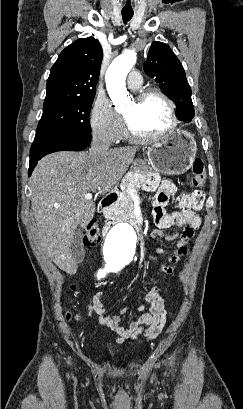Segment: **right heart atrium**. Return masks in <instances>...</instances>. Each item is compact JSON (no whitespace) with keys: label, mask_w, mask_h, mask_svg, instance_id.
<instances>
[{"label":"right heart atrium","mask_w":243,"mask_h":409,"mask_svg":"<svg viewBox=\"0 0 243 409\" xmlns=\"http://www.w3.org/2000/svg\"><path fill=\"white\" fill-rule=\"evenodd\" d=\"M90 128L92 135L105 143H115L124 134L121 118L105 97L95 100L90 112Z\"/></svg>","instance_id":"d8ad5b80"}]
</instances>
